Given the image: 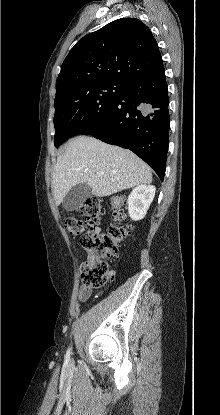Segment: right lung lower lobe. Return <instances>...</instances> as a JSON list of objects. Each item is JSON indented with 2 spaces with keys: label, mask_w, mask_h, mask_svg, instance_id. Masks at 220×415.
<instances>
[{
  "label": "right lung lower lobe",
  "mask_w": 220,
  "mask_h": 415,
  "mask_svg": "<svg viewBox=\"0 0 220 415\" xmlns=\"http://www.w3.org/2000/svg\"><path fill=\"white\" fill-rule=\"evenodd\" d=\"M169 97L164 67L128 82L107 120L91 135L130 149L163 180L169 142Z\"/></svg>",
  "instance_id": "obj_1"
}]
</instances>
